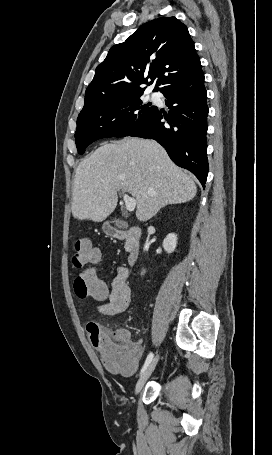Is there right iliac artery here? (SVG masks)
Segmentation results:
<instances>
[{
	"mask_svg": "<svg viewBox=\"0 0 272 455\" xmlns=\"http://www.w3.org/2000/svg\"><path fill=\"white\" fill-rule=\"evenodd\" d=\"M152 359H153V353H150L145 360V363L141 369V373H143L147 369V367L151 363Z\"/></svg>",
	"mask_w": 272,
	"mask_h": 455,
	"instance_id": "82829eb1",
	"label": "right iliac artery"
}]
</instances>
